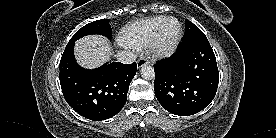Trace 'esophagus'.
Listing matches in <instances>:
<instances>
[{
  "instance_id": "1",
  "label": "esophagus",
  "mask_w": 276,
  "mask_h": 138,
  "mask_svg": "<svg viewBox=\"0 0 276 138\" xmlns=\"http://www.w3.org/2000/svg\"><path fill=\"white\" fill-rule=\"evenodd\" d=\"M148 63H149V61H148L147 58L141 57V58H139L138 61H137V68L140 69L141 67H143L144 65H146V64H148Z\"/></svg>"
}]
</instances>
